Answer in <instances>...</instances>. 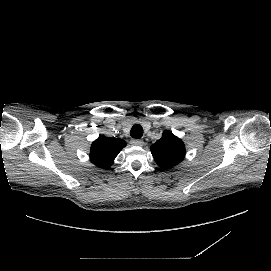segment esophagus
Masks as SVG:
<instances>
[{"instance_id": "esophagus-1", "label": "esophagus", "mask_w": 271, "mask_h": 271, "mask_svg": "<svg viewBox=\"0 0 271 271\" xmlns=\"http://www.w3.org/2000/svg\"><path fill=\"white\" fill-rule=\"evenodd\" d=\"M130 144L133 145V146H143L144 145V141L141 140V139H131L130 140Z\"/></svg>"}]
</instances>
